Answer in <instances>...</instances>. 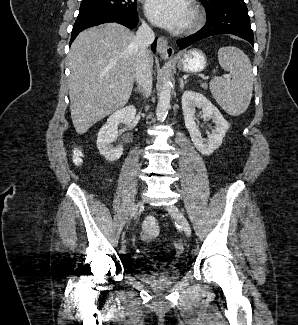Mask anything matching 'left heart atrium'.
<instances>
[{"mask_svg": "<svg viewBox=\"0 0 298 325\" xmlns=\"http://www.w3.org/2000/svg\"><path fill=\"white\" fill-rule=\"evenodd\" d=\"M145 13L156 26L165 29H182L188 19L184 0H146Z\"/></svg>", "mask_w": 298, "mask_h": 325, "instance_id": "1", "label": "left heart atrium"}]
</instances>
